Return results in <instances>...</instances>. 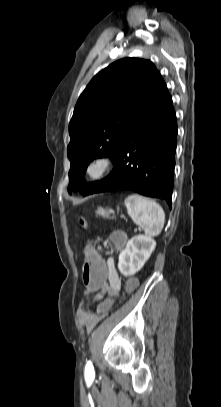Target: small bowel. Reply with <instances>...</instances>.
<instances>
[{
  "label": "small bowel",
  "mask_w": 221,
  "mask_h": 407,
  "mask_svg": "<svg viewBox=\"0 0 221 407\" xmlns=\"http://www.w3.org/2000/svg\"><path fill=\"white\" fill-rule=\"evenodd\" d=\"M106 265H108L109 269V276H108V284L107 286H103L102 292H85L84 297H91L92 301L98 302L97 309L92 311L87 305H85L84 301L79 305L77 310V315L79 319V323L82 328L86 331H91L94 326L99 322V320L104 317L106 314L102 316L99 314L98 307L100 305V301L103 298L104 294L109 295L111 292H119L121 291L122 282L121 278L115 268L114 260L112 257L106 259ZM84 271V269H83ZM112 307V306H110Z\"/></svg>",
  "instance_id": "small-bowel-1"
}]
</instances>
